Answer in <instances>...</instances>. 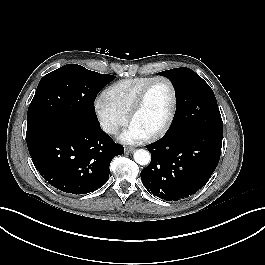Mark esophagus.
Returning <instances> with one entry per match:
<instances>
[{"instance_id": "esophagus-1", "label": "esophagus", "mask_w": 265, "mask_h": 265, "mask_svg": "<svg viewBox=\"0 0 265 265\" xmlns=\"http://www.w3.org/2000/svg\"><path fill=\"white\" fill-rule=\"evenodd\" d=\"M134 151V148L133 147H126L125 148V152L126 153H132Z\"/></svg>"}]
</instances>
